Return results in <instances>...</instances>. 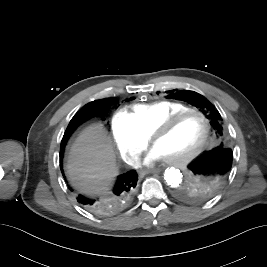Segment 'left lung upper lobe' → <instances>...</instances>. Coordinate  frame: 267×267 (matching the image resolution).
Here are the masks:
<instances>
[{
	"mask_svg": "<svg viewBox=\"0 0 267 267\" xmlns=\"http://www.w3.org/2000/svg\"><path fill=\"white\" fill-rule=\"evenodd\" d=\"M167 99L182 100L197 107L209 119L213 131L219 138L224 137L222 128V118L215 106L210 103L204 96L193 91H168Z\"/></svg>",
	"mask_w": 267,
	"mask_h": 267,
	"instance_id": "left-lung-upper-lobe-1",
	"label": "left lung upper lobe"
}]
</instances>
